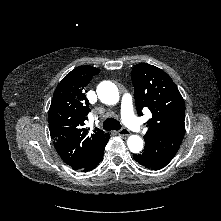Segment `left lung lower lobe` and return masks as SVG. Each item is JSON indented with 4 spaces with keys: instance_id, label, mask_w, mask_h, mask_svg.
<instances>
[{
    "instance_id": "0a47b994",
    "label": "left lung lower lobe",
    "mask_w": 221,
    "mask_h": 221,
    "mask_svg": "<svg viewBox=\"0 0 221 221\" xmlns=\"http://www.w3.org/2000/svg\"><path fill=\"white\" fill-rule=\"evenodd\" d=\"M135 161L147 169L159 170L164 168L167 164L159 162L152 158L150 155L142 152L140 154L133 155Z\"/></svg>"
}]
</instances>
